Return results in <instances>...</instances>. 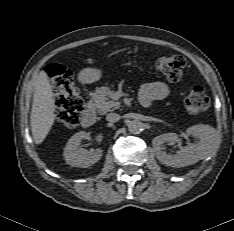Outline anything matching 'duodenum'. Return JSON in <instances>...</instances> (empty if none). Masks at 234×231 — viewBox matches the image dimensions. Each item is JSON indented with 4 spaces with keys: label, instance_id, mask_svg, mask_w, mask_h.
Instances as JSON below:
<instances>
[{
    "label": "duodenum",
    "instance_id": "obj_1",
    "mask_svg": "<svg viewBox=\"0 0 234 231\" xmlns=\"http://www.w3.org/2000/svg\"><path fill=\"white\" fill-rule=\"evenodd\" d=\"M82 123L84 126L89 127L95 124L97 115L94 107L87 106L82 113Z\"/></svg>",
    "mask_w": 234,
    "mask_h": 231
}]
</instances>
